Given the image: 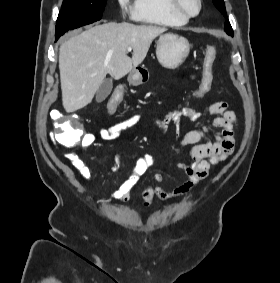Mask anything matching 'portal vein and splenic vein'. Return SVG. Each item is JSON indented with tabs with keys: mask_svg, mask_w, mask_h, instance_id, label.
<instances>
[{
	"mask_svg": "<svg viewBox=\"0 0 280 283\" xmlns=\"http://www.w3.org/2000/svg\"><path fill=\"white\" fill-rule=\"evenodd\" d=\"M127 50H128V51H131V50H132V47H128Z\"/></svg>",
	"mask_w": 280,
	"mask_h": 283,
	"instance_id": "1",
	"label": "portal vein and splenic vein"
}]
</instances>
